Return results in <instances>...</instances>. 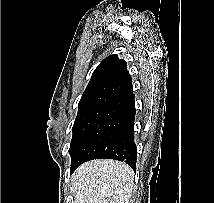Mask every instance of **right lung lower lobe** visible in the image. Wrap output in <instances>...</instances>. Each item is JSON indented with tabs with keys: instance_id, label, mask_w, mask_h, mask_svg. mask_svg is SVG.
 <instances>
[{
	"instance_id": "obj_1",
	"label": "right lung lower lobe",
	"mask_w": 214,
	"mask_h": 203,
	"mask_svg": "<svg viewBox=\"0 0 214 203\" xmlns=\"http://www.w3.org/2000/svg\"><path fill=\"white\" fill-rule=\"evenodd\" d=\"M135 113L133 91L114 99L71 154L70 173L86 161L103 158L123 161L136 170Z\"/></svg>"
}]
</instances>
